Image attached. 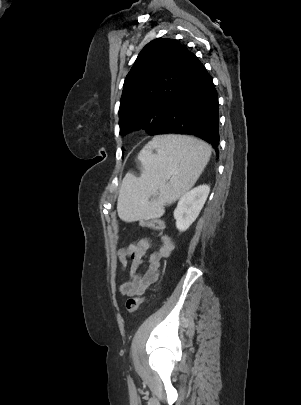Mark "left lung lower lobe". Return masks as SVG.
<instances>
[{
    "instance_id": "1",
    "label": "left lung lower lobe",
    "mask_w": 301,
    "mask_h": 405,
    "mask_svg": "<svg viewBox=\"0 0 301 405\" xmlns=\"http://www.w3.org/2000/svg\"><path fill=\"white\" fill-rule=\"evenodd\" d=\"M218 96L212 77L194 55L188 75L154 135L196 136L219 153Z\"/></svg>"
}]
</instances>
